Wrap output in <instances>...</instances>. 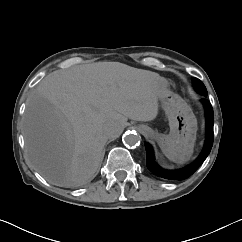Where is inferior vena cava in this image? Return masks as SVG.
I'll return each mask as SVG.
<instances>
[{
    "label": "inferior vena cava",
    "instance_id": "inferior-vena-cava-1",
    "mask_svg": "<svg viewBox=\"0 0 242 242\" xmlns=\"http://www.w3.org/2000/svg\"><path fill=\"white\" fill-rule=\"evenodd\" d=\"M122 131V124L118 120L112 121L106 128V133L111 138H117Z\"/></svg>",
    "mask_w": 242,
    "mask_h": 242
}]
</instances>
